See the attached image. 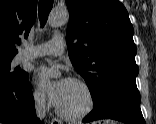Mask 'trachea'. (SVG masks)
Masks as SVG:
<instances>
[{"label":"trachea","mask_w":156,"mask_h":124,"mask_svg":"<svg viewBox=\"0 0 156 124\" xmlns=\"http://www.w3.org/2000/svg\"><path fill=\"white\" fill-rule=\"evenodd\" d=\"M52 6H53V0H39L38 15L42 27L47 22L48 15L52 9Z\"/></svg>","instance_id":"3493384b"}]
</instances>
